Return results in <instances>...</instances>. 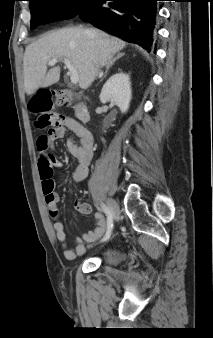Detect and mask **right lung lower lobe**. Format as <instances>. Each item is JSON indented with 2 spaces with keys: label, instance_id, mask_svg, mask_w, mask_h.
<instances>
[{
  "label": "right lung lower lobe",
  "instance_id": "98d812e1",
  "mask_svg": "<svg viewBox=\"0 0 213 338\" xmlns=\"http://www.w3.org/2000/svg\"><path fill=\"white\" fill-rule=\"evenodd\" d=\"M158 1L163 0H96L79 15L95 27L151 51Z\"/></svg>",
  "mask_w": 213,
  "mask_h": 338
}]
</instances>
